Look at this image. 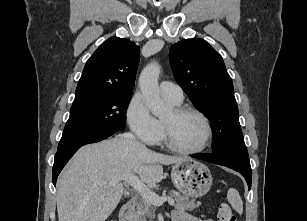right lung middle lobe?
Returning <instances> with one entry per match:
<instances>
[{
    "instance_id": "obj_1",
    "label": "right lung middle lobe",
    "mask_w": 307,
    "mask_h": 221,
    "mask_svg": "<svg viewBox=\"0 0 307 221\" xmlns=\"http://www.w3.org/2000/svg\"><path fill=\"white\" fill-rule=\"evenodd\" d=\"M132 93H110L73 102L58 148L124 130Z\"/></svg>"
}]
</instances>
